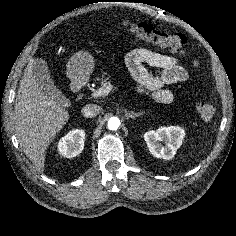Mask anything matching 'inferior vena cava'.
<instances>
[{
	"mask_svg": "<svg viewBox=\"0 0 236 236\" xmlns=\"http://www.w3.org/2000/svg\"><path fill=\"white\" fill-rule=\"evenodd\" d=\"M81 112L84 117L92 118L101 112V107L96 104H87L82 108Z\"/></svg>",
	"mask_w": 236,
	"mask_h": 236,
	"instance_id": "inferior-vena-cava-1",
	"label": "inferior vena cava"
}]
</instances>
